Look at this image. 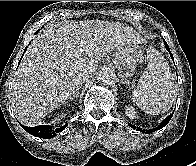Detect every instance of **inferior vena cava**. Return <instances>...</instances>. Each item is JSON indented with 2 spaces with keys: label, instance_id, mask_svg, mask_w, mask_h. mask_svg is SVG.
Listing matches in <instances>:
<instances>
[{
  "label": "inferior vena cava",
  "instance_id": "602c4592",
  "mask_svg": "<svg viewBox=\"0 0 196 166\" xmlns=\"http://www.w3.org/2000/svg\"><path fill=\"white\" fill-rule=\"evenodd\" d=\"M90 77H91L90 73L78 72V73L74 76V83H75L76 85L83 84V83L86 82Z\"/></svg>",
  "mask_w": 196,
  "mask_h": 166
}]
</instances>
